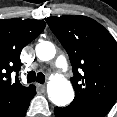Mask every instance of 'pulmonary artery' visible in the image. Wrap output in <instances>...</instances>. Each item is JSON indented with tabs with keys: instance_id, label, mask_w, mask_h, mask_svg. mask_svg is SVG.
<instances>
[{
	"instance_id": "obj_1",
	"label": "pulmonary artery",
	"mask_w": 117,
	"mask_h": 117,
	"mask_svg": "<svg viewBox=\"0 0 117 117\" xmlns=\"http://www.w3.org/2000/svg\"><path fill=\"white\" fill-rule=\"evenodd\" d=\"M54 67L56 70L60 72H67L68 70V65L66 62V59L63 56H59L55 61H54Z\"/></svg>"
}]
</instances>
